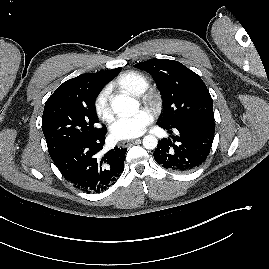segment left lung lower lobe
Here are the masks:
<instances>
[{
  "mask_svg": "<svg viewBox=\"0 0 269 269\" xmlns=\"http://www.w3.org/2000/svg\"><path fill=\"white\" fill-rule=\"evenodd\" d=\"M160 127L178 135L171 139H162L158 142L153 155L155 161L164 168L177 172L187 173L200 167L210 153L212 147L215 122L212 120H187L173 127L160 124Z\"/></svg>",
  "mask_w": 269,
  "mask_h": 269,
  "instance_id": "obj_1",
  "label": "left lung lower lobe"
}]
</instances>
